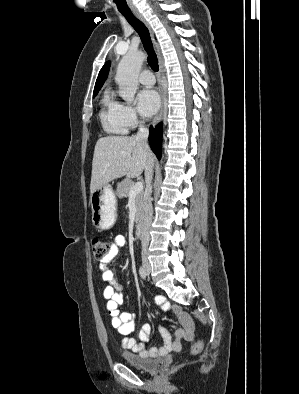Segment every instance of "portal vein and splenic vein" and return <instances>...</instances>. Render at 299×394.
<instances>
[{
	"label": "portal vein and splenic vein",
	"instance_id": "1",
	"mask_svg": "<svg viewBox=\"0 0 299 394\" xmlns=\"http://www.w3.org/2000/svg\"><path fill=\"white\" fill-rule=\"evenodd\" d=\"M143 191V183L142 182H137L135 185L131 188L130 190V196H136L140 192Z\"/></svg>",
	"mask_w": 299,
	"mask_h": 394
}]
</instances>
